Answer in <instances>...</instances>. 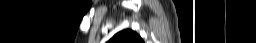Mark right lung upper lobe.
I'll use <instances>...</instances> for the list:
<instances>
[{
	"mask_svg": "<svg viewBox=\"0 0 256 43\" xmlns=\"http://www.w3.org/2000/svg\"><path fill=\"white\" fill-rule=\"evenodd\" d=\"M108 43H144L142 38L132 30H123L115 34Z\"/></svg>",
	"mask_w": 256,
	"mask_h": 43,
	"instance_id": "obj_1",
	"label": "right lung upper lobe"
}]
</instances>
